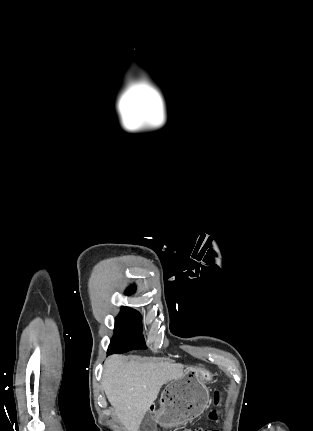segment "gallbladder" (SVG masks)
I'll list each match as a JSON object with an SVG mask.
<instances>
[{
    "label": "gallbladder",
    "mask_w": 313,
    "mask_h": 431,
    "mask_svg": "<svg viewBox=\"0 0 313 431\" xmlns=\"http://www.w3.org/2000/svg\"><path fill=\"white\" fill-rule=\"evenodd\" d=\"M144 425L148 428H152L155 426V423L153 421V418L151 415L147 414L144 418Z\"/></svg>",
    "instance_id": "1"
}]
</instances>
